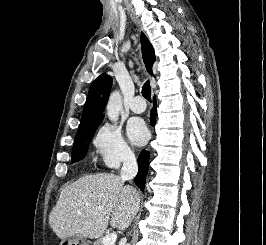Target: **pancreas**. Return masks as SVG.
Instances as JSON below:
<instances>
[{
	"mask_svg": "<svg viewBox=\"0 0 266 245\" xmlns=\"http://www.w3.org/2000/svg\"><path fill=\"white\" fill-rule=\"evenodd\" d=\"M95 245H102V239H98V241H96Z\"/></svg>",
	"mask_w": 266,
	"mask_h": 245,
	"instance_id": "pancreas-1",
	"label": "pancreas"
}]
</instances>
